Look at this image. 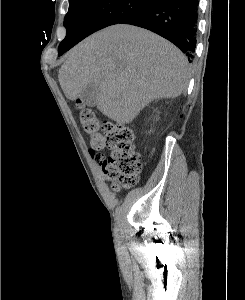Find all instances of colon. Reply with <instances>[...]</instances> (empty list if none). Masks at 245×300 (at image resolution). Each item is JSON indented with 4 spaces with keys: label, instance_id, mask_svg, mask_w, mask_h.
Returning <instances> with one entry per match:
<instances>
[{
    "label": "colon",
    "instance_id": "5ec220e1",
    "mask_svg": "<svg viewBox=\"0 0 245 300\" xmlns=\"http://www.w3.org/2000/svg\"><path fill=\"white\" fill-rule=\"evenodd\" d=\"M80 121L83 130L91 136L92 155L104 149L110 150L108 157L98 156L97 160L114 189L134 186L139 181L141 161L134 148L132 131L111 121L101 124L95 114L85 108L80 112Z\"/></svg>",
    "mask_w": 245,
    "mask_h": 300
}]
</instances>
